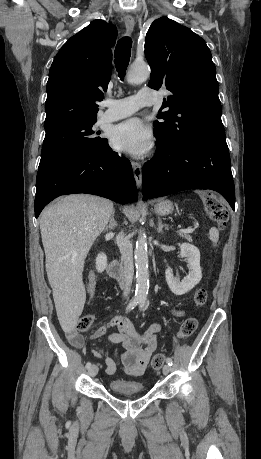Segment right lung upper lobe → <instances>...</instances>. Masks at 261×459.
Returning a JSON list of instances; mask_svg holds the SVG:
<instances>
[{
    "mask_svg": "<svg viewBox=\"0 0 261 459\" xmlns=\"http://www.w3.org/2000/svg\"><path fill=\"white\" fill-rule=\"evenodd\" d=\"M116 29L95 20L71 37L53 60L47 82L44 127L96 119L111 77Z\"/></svg>",
    "mask_w": 261,
    "mask_h": 459,
    "instance_id": "right-lung-upper-lobe-1",
    "label": "right lung upper lobe"
}]
</instances>
